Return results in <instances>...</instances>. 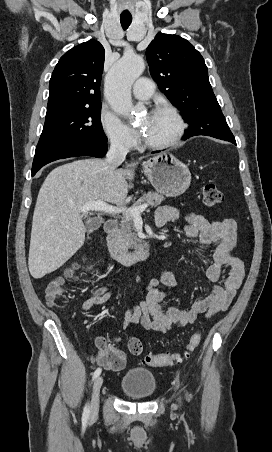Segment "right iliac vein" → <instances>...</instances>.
<instances>
[{"label":"right iliac vein","mask_w":272,"mask_h":452,"mask_svg":"<svg viewBox=\"0 0 272 452\" xmlns=\"http://www.w3.org/2000/svg\"><path fill=\"white\" fill-rule=\"evenodd\" d=\"M103 384V378L101 376L97 377L92 390V397H91V414L95 415L98 413L99 410V397H100V390L101 386Z\"/></svg>","instance_id":"right-iliac-vein-1"}]
</instances>
